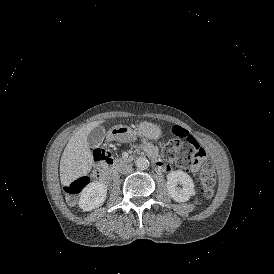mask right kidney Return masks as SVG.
Listing matches in <instances>:
<instances>
[{"label":"right kidney","mask_w":274,"mask_h":274,"mask_svg":"<svg viewBox=\"0 0 274 274\" xmlns=\"http://www.w3.org/2000/svg\"><path fill=\"white\" fill-rule=\"evenodd\" d=\"M107 186L101 182L94 181L83 188L78 202L83 211H91L103 205L106 200Z\"/></svg>","instance_id":"1"}]
</instances>
